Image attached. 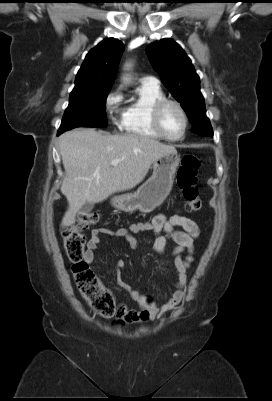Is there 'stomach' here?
Returning a JSON list of instances; mask_svg holds the SVG:
<instances>
[{
	"instance_id": "1",
	"label": "stomach",
	"mask_w": 272,
	"mask_h": 401,
	"mask_svg": "<svg viewBox=\"0 0 272 401\" xmlns=\"http://www.w3.org/2000/svg\"><path fill=\"white\" fill-rule=\"evenodd\" d=\"M179 163L180 156L177 153L159 157L153 162L152 176L137 191L114 196L111 204L124 212L136 210L143 213L152 212L169 195Z\"/></svg>"
}]
</instances>
